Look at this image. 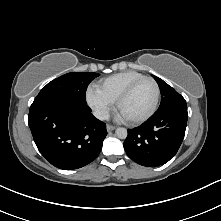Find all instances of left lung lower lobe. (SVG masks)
Segmentation results:
<instances>
[{"label": "left lung lower lobe", "mask_w": 221, "mask_h": 221, "mask_svg": "<svg viewBox=\"0 0 221 221\" xmlns=\"http://www.w3.org/2000/svg\"><path fill=\"white\" fill-rule=\"evenodd\" d=\"M187 118L186 105L156 112L140 127L128 130L124 142L127 155L136 163L147 167L167 163L182 143Z\"/></svg>", "instance_id": "obj_1"}]
</instances>
